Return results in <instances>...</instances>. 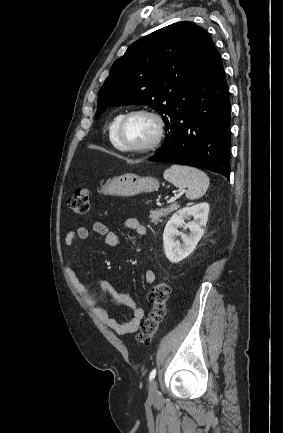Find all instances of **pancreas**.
Here are the masks:
<instances>
[{"label": "pancreas", "mask_w": 283, "mask_h": 433, "mask_svg": "<svg viewBox=\"0 0 283 433\" xmlns=\"http://www.w3.org/2000/svg\"><path fill=\"white\" fill-rule=\"evenodd\" d=\"M178 208V204H171L168 208H157V210H150L151 214H149V219H151L152 223H158L161 221L162 217H166V214L169 212H173Z\"/></svg>", "instance_id": "pancreas-1"}]
</instances>
